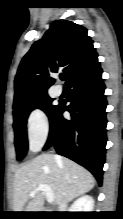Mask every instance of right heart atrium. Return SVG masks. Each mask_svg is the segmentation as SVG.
I'll return each mask as SVG.
<instances>
[{
  "label": "right heart atrium",
  "mask_w": 123,
  "mask_h": 219,
  "mask_svg": "<svg viewBox=\"0 0 123 219\" xmlns=\"http://www.w3.org/2000/svg\"><path fill=\"white\" fill-rule=\"evenodd\" d=\"M27 136L29 148L37 151L44 144L49 133V119L46 113L36 108L27 117Z\"/></svg>",
  "instance_id": "obj_1"
}]
</instances>
